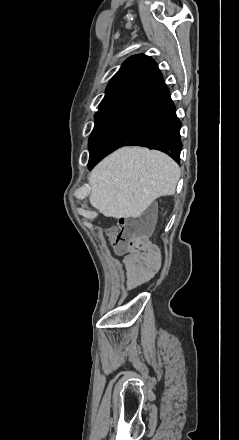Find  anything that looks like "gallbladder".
Returning a JSON list of instances; mask_svg holds the SVG:
<instances>
[{
    "instance_id": "1",
    "label": "gallbladder",
    "mask_w": 239,
    "mask_h": 440,
    "mask_svg": "<svg viewBox=\"0 0 239 440\" xmlns=\"http://www.w3.org/2000/svg\"><path fill=\"white\" fill-rule=\"evenodd\" d=\"M151 214V208H149L147 214H146V218H145V226H148L149 224V216Z\"/></svg>"
}]
</instances>
